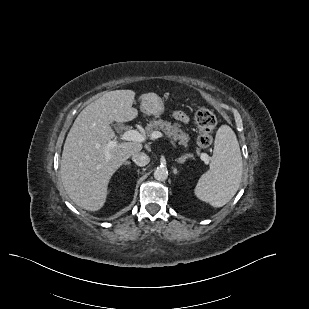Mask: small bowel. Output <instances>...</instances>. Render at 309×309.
Listing matches in <instances>:
<instances>
[{"mask_svg":"<svg viewBox=\"0 0 309 309\" xmlns=\"http://www.w3.org/2000/svg\"><path fill=\"white\" fill-rule=\"evenodd\" d=\"M175 118L183 123L188 122L187 116L183 112H175L174 114Z\"/></svg>","mask_w":309,"mask_h":309,"instance_id":"small-bowel-1","label":"small bowel"}]
</instances>
